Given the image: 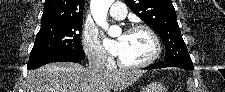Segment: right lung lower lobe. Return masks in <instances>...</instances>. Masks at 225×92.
I'll use <instances>...</instances> for the list:
<instances>
[{
    "label": "right lung lower lobe",
    "mask_w": 225,
    "mask_h": 92,
    "mask_svg": "<svg viewBox=\"0 0 225 92\" xmlns=\"http://www.w3.org/2000/svg\"><path fill=\"white\" fill-rule=\"evenodd\" d=\"M82 50H63L29 58L27 69H36L52 62H80L84 59Z\"/></svg>",
    "instance_id": "1"
}]
</instances>
